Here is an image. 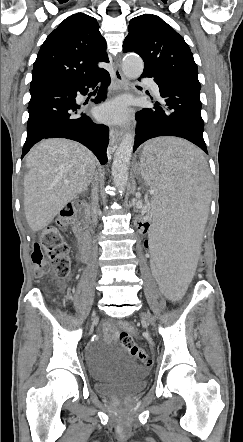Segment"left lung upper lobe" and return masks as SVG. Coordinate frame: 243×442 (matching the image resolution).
<instances>
[{
    "instance_id": "left-lung-upper-lobe-1",
    "label": "left lung upper lobe",
    "mask_w": 243,
    "mask_h": 442,
    "mask_svg": "<svg viewBox=\"0 0 243 442\" xmlns=\"http://www.w3.org/2000/svg\"><path fill=\"white\" fill-rule=\"evenodd\" d=\"M123 51L135 52L144 70L157 75H178L198 79V67L184 39L156 15L144 14L130 20Z\"/></svg>"
}]
</instances>
